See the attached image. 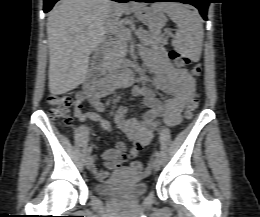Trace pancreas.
<instances>
[{
	"label": "pancreas",
	"instance_id": "pancreas-1",
	"mask_svg": "<svg viewBox=\"0 0 260 217\" xmlns=\"http://www.w3.org/2000/svg\"><path fill=\"white\" fill-rule=\"evenodd\" d=\"M131 33L129 29L122 28L116 35L115 38L110 40L107 44L106 51V62L104 67L106 69L109 66L116 63L126 52L127 42L130 40ZM140 41L148 46H160L166 45L167 41L157 31H149L142 34H138Z\"/></svg>",
	"mask_w": 260,
	"mask_h": 217
}]
</instances>
